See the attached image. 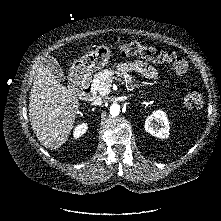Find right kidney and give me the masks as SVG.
<instances>
[{
  "label": "right kidney",
  "instance_id": "ca27d5eb",
  "mask_svg": "<svg viewBox=\"0 0 221 221\" xmlns=\"http://www.w3.org/2000/svg\"><path fill=\"white\" fill-rule=\"evenodd\" d=\"M88 126L85 123L78 125L73 132V136L75 139L81 137L87 130Z\"/></svg>",
  "mask_w": 221,
  "mask_h": 221
}]
</instances>
